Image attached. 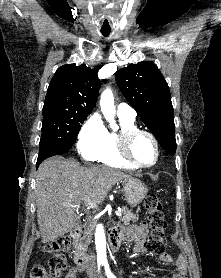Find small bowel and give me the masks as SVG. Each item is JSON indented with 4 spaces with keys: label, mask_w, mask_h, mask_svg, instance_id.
Masks as SVG:
<instances>
[{
    "label": "small bowel",
    "mask_w": 221,
    "mask_h": 278,
    "mask_svg": "<svg viewBox=\"0 0 221 278\" xmlns=\"http://www.w3.org/2000/svg\"><path fill=\"white\" fill-rule=\"evenodd\" d=\"M146 225H133L125 229L126 236L135 242L134 253L144 254L146 252L145 240H146ZM159 260L163 264H170L172 257L168 253L159 254ZM81 270L77 267H72L66 273L64 278H76ZM151 278V277H149ZM170 278H187V267L185 259L179 256L176 261V272Z\"/></svg>",
    "instance_id": "obj_1"
}]
</instances>
